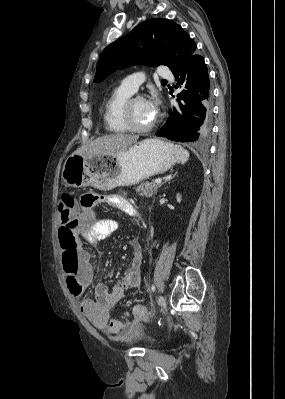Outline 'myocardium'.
I'll use <instances>...</instances> for the list:
<instances>
[{"label":"myocardium","instance_id":"obj_1","mask_svg":"<svg viewBox=\"0 0 285 399\" xmlns=\"http://www.w3.org/2000/svg\"><path fill=\"white\" fill-rule=\"evenodd\" d=\"M136 100H144V98L140 95H134V96H130L125 101L123 108H122L124 123H125L126 127L129 129V131L136 132V133L147 132L155 126L156 120H154L149 125L143 126V127L135 125L134 120H133V115H132V105Z\"/></svg>","mask_w":285,"mask_h":399}]
</instances>
